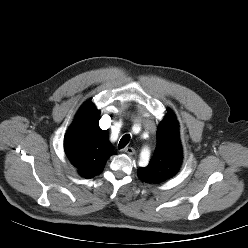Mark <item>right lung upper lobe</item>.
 <instances>
[{"mask_svg": "<svg viewBox=\"0 0 248 248\" xmlns=\"http://www.w3.org/2000/svg\"><path fill=\"white\" fill-rule=\"evenodd\" d=\"M99 116L93 103L87 101L64 139L67 157L84 178L100 174L106 161L115 154L107 132L99 127Z\"/></svg>", "mask_w": 248, "mask_h": 248, "instance_id": "obj_1", "label": "right lung upper lobe"}]
</instances>
